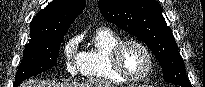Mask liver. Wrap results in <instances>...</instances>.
I'll return each mask as SVG.
<instances>
[{
  "instance_id": "1",
  "label": "liver",
  "mask_w": 205,
  "mask_h": 87,
  "mask_svg": "<svg viewBox=\"0 0 205 87\" xmlns=\"http://www.w3.org/2000/svg\"><path fill=\"white\" fill-rule=\"evenodd\" d=\"M21 87H113L109 84H103L100 82H89V83H49V82H37L30 80L21 84Z\"/></svg>"
}]
</instances>
